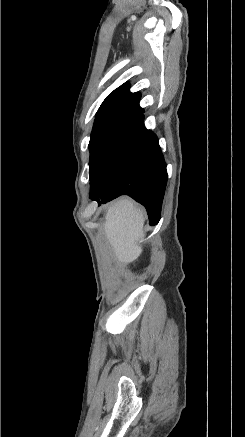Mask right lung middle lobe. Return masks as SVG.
<instances>
[{"mask_svg": "<svg viewBox=\"0 0 245 437\" xmlns=\"http://www.w3.org/2000/svg\"><path fill=\"white\" fill-rule=\"evenodd\" d=\"M143 119L144 115L141 111L128 107L105 106L99 108L89 142L90 179L119 139Z\"/></svg>", "mask_w": 245, "mask_h": 437, "instance_id": "obj_1", "label": "right lung middle lobe"}]
</instances>
